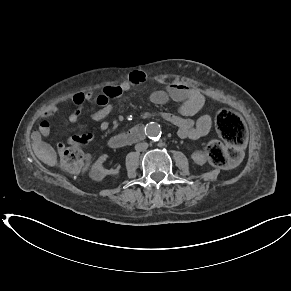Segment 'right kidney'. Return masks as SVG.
<instances>
[{"label":"right kidney","instance_id":"ca27d5eb","mask_svg":"<svg viewBox=\"0 0 291 291\" xmlns=\"http://www.w3.org/2000/svg\"><path fill=\"white\" fill-rule=\"evenodd\" d=\"M106 155L98 158L91 168L90 175L94 180L101 181L106 175H116L119 170H107L103 168L102 163L106 160Z\"/></svg>","mask_w":291,"mask_h":291}]
</instances>
